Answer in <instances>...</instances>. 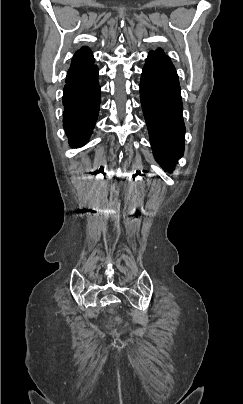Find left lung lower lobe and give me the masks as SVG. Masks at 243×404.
<instances>
[{
	"mask_svg": "<svg viewBox=\"0 0 243 404\" xmlns=\"http://www.w3.org/2000/svg\"><path fill=\"white\" fill-rule=\"evenodd\" d=\"M140 98L155 159L172 171L184 152L185 125L178 75L167 55L149 52Z\"/></svg>",
	"mask_w": 243,
	"mask_h": 404,
	"instance_id": "obj_1",
	"label": "left lung lower lobe"
}]
</instances>
